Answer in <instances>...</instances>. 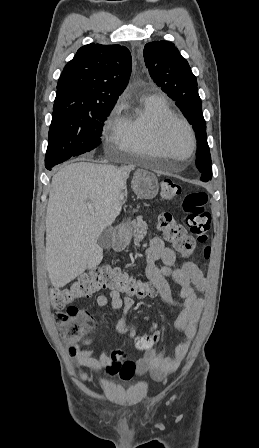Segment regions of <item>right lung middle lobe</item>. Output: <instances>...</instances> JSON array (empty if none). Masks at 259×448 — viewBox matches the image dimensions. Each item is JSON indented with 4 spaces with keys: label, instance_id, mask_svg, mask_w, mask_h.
<instances>
[{
    "label": "right lung middle lobe",
    "instance_id": "1",
    "mask_svg": "<svg viewBox=\"0 0 259 448\" xmlns=\"http://www.w3.org/2000/svg\"><path fill=\"white\" fill-rule=\"evenodd\" d=\"M113 107L96 108L77 113H53L46 168L89 152L101 143L104 121Z\"/></svg>",
    "mask_w": 259,
    "mask_h": 448
}]
</instances>
